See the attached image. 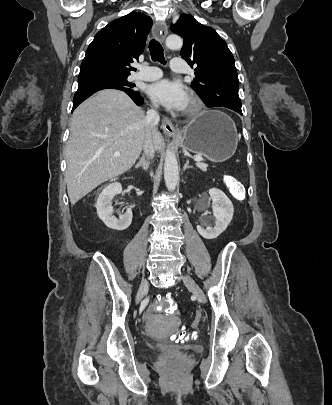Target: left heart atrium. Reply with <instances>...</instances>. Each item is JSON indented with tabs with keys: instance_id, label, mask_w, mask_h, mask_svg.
I'll list each match as a JSON object with an SVG mask.
<instances>
[{
	"instance_id": "1",
	"label": "left heart atrium",
	"mask_w": 332,
	"mask_h": 405,
	"mask_svg": "<svg viewBox=\"0 0 332 405\" xmlns=\"http://www.w3.org/2000/svg\"><path fill=\"white\" fill-rule=\"evenodd\" d=\"M148 95L157 103L172 110H183L188 105V92L178 81L163 79L150 84Z\"/></svg>"
}]
</instances>
